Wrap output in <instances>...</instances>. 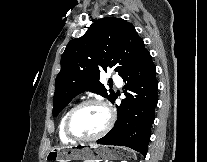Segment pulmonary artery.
<instances>
[{"instance_id":"1","label":"pulmonary artery","mask_w":207,"mask_h":162,"mask_svg":"<svg viewBox=\"0 0 207 162\" xmlns=\"http://www.w3.org/2000/svg\"><path fill=\"white\" fill-rule=\"evenodd\" d=\"M114 80H115L117 87H122L123 81L118 75H114Z\"/></svg>"}]
</instances>
